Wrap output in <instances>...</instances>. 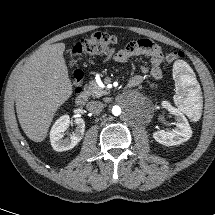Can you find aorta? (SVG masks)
<instances>
[{
	"label": "aorta",
	"mask_w": 215,
	"mask_h": 215,
	"mask_svg": "<svg viewBox=\"0 0 215 215\" xmlns=\"http://www.w3.org/2000/svg\"><path fill=\"white\" fill-rule=\"evenodd\" d=\"M113 113H114L115 115H119V114L121 113V109H120L119 107H114V108H113Z\"/></svg>",
	"instance_id": "1"
}]
</instances>
